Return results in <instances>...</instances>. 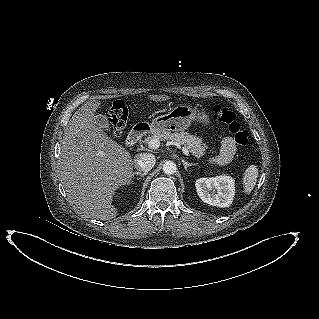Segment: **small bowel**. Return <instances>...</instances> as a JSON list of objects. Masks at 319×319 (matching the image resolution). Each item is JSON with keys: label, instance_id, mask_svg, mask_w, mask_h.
<instances>
[{"label": "small bowel", "instance_id": "obj_1", "mask_svg": "<svg viewBox=\"0 0 319 319\" xmlns=\"http://www.w3.org/2000/svg\"><path fill=\"white\" fill-rule=\"evenodd\" d=\"M236 152V144L232 137L226 136L220 146L218 154L211 158V162L217 165H225L231 162Z\"/></svg>", "mask_w": 319, "mask_h": 319}]
</instances>
